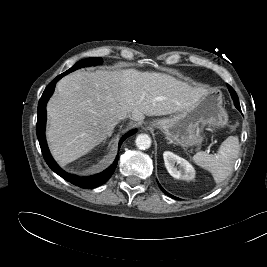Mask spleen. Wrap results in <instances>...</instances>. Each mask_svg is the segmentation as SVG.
I'll use <instances>...</instances> for the list:
<instances>
[{
    "mask_svg": "<svg viewBox=\"0 0 267 267\" xmlns=\"http://www.w3.org/2000/svg\"><path fill=\"white\" fill-rule=\"evenodd\" d=\"M239 149L238 137L229 136L222 142L217 154L212 155L200 151L193 156V161L209 171L216 183H221L232 173Z\"/></svg>",
    "mask_w": 267,
    "mask_h": 267,
    "instance_id": "spleen-1",
    "label": "spleen"
}]
</instances>
